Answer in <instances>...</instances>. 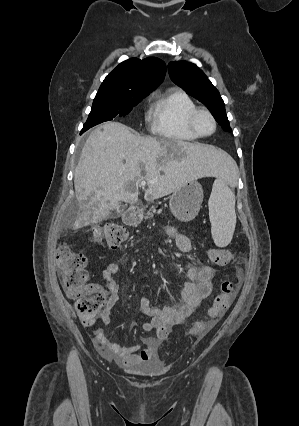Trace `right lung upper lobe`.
<instances>
[{"label":"right lung upper lobe","mask_w":299,"mask_h":426,"mask_svg":"<svg viewBox=\"0 0 299 426\" xmlns=\"http://www.w3.org/2000/svg\"><path fill=\"white\" fill-rule=\"evenodd\" d=\"M165 74L166 64L158 58H132L119 64L107 75L100 89L133 96L153 91L162 83Z\"/></svg>","instance_id":"1"}]
</instances>
